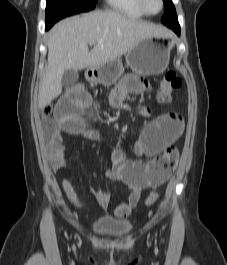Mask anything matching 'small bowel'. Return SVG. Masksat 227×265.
I'll return each instance as SVG.
<instances>
[{"instance_id": "1", "label": "small bowel", "mask_w": 227, "mask_h": 265, "mask_svg": "<svg viewBox=\"0 0 227 265\" xmlns=\"http://www.w3.org/2000/svg\"><path fill=\"white\" fill-rule=\"evenodd\" d=\"M114 85L117 87L110 95V104L115 108L127 107L124 103L127 94H140L148 88L147 81L134 74H127L121 81H115ZM90 104H97V99H91L85 87H66V91H62V96L57 99L54 111L57 125L51 130L46 146L51 166L55 171L67 167L63 145L64 133L81 135L92 141L99 140V132L88 127L83 117ZM134 111H137V108H134ZM182 131L181 116L176 113H165L146 125L139 139L131 145L136 155L147 156L150 158L149 161L129 160L120 149L111 152V168L104 173V177L124 183L129 193L127 199L116 206L114 215H106L102 219L103 222L124 221L136 207L144 189L156 187L167 179L161 178L162 174L156 166L157 156L172 148ZM61 184L70 201L76 207L82 208L72 183L63 179ZM90 193L100 207H109V192L91 187Z\"/></svg>"}]
</instances>
